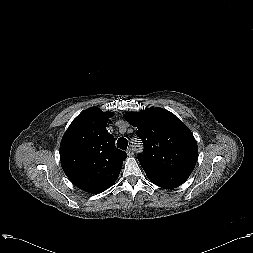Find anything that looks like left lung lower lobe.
Instances as JSON below:
<instances>
[{
    "instance_id": "1",
    "label": "left lung lower lobe",
    "mask_w": 253,
    "mask_h": 253,
    "mask_svg": "<svg viewBox=\"0 0 253 253\" xmlns=\"http://www.w3.org/2000/svg\"><path fill=\"white\" fill-rule=\"evenodd\" d=\"M142 168L152 183L164 189L176 188L190 176V173L185 171L156 169L144 166Z\"/></svg>"
}]
</instances>
